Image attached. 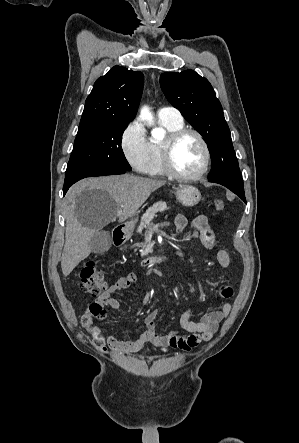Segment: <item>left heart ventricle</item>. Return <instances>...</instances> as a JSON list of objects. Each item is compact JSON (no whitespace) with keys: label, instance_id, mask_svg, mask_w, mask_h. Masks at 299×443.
I'll use <instances>...</instances> for the list:
<instances>
[{"label":"left heart ventricle","instance_id":"1","mask_svg":"<svg viewBox=\"0 0 299 443\" xmlns=\"http://www.w3.org/2000/svg\"><path fill=\"white\" fill-rule=\"evenodd\" d=\"M204 152L194 135L184 136L176 145L173 152V164L182 174L191 175L198 172L202 166Z\"/></svg>","mask_w":299,"mask_h":443}]
</instances>
